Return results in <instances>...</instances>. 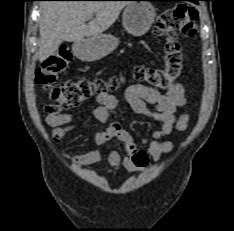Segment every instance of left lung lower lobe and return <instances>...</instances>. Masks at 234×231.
<instances>
[{
    "mask_svg": "<svg viewBox=\"0 0 234 231\" xmlns=\"http://www.w3.org/2000/svg\"><path fill=\"white\" fill-rule=\"evenodd\" d=\"M150 1H157V0H150ZM186 1H190V2L198 4V1H201V0H186Z\"/></svg>",
    "mask_w": 234,
    "mask_h": 231,
    "instance_id": "obj_1",
    "label": "left lung lower lobe"
}]
</instances>
